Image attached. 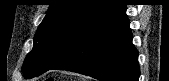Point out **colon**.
Masks as SVG:
<instances>
[{
    "label": "colon",
    "instance_id": "colon-1",
    "mask_svg": "<svg viewBox=\"0 0 169 81\" xmlns=\"http://www.w3.org/2000/svg\"><path fill=\"white\" fill-rule=\"evenodd\" d=\"M46 81H55V78H53V77H48V78L46 79Z\"/></svg>",
    "mask_w": 169,
    "mask_h": 81
}]
</instances>
